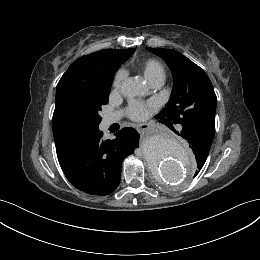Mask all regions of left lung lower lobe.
<instances>
[{
    "label": "left lung lower lobe",
    "instance_id": "1",
    "mask_svg": "<svg viewBox=\"0 0 260 260\" xmlns=\"http://www.w3.org/2000/svg\"><path fill=\"white\" fill-rule=\"evenodd\" d=\"M188 143L195 154L196 161H206L213 139L190 126H183L180 133L176 132ZM198 173H195V176Z\"/></svg>",
    "mask_w": 260,
    "mask_h": 260
}]
</instances>
